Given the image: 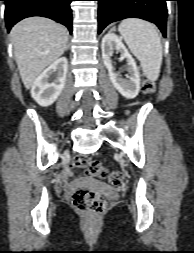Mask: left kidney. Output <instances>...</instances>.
Masks as SVG:
<instances>
[{
  "instance_id": "1",
  "label": "left kidney",
  "mask_w": 194,
  "mask_h": 253,
  "mask_svg": "<svg viewBox=\"0 0 194 253\" xmlns=\"http://www.w3.org/2000/svg\"><path fill=\"white\" fill-rule=\"evenodd\" d=\"M101 49L104 65L108 69L109 77L113 86L122 96L128 99L136 97L140 90L139 71L136 62L122 43L121 39L114 33L109 32L102 39ZM113 50L120 52L121 58L126 59L127 61V79H122L114 70L111 61Z\"/></svg>"
}]
</instances>
